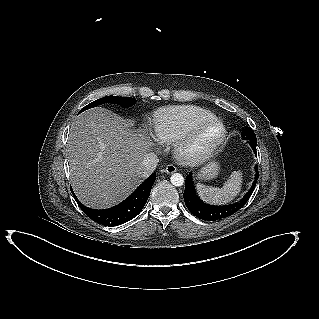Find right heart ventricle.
<instances>
[{
	"instance_id": "e07e8e85",
	"label": "right heart ventricle",
	"mask_w": 319,
	"mask_h": 319,
	"mask_svg": "<svg viewBox=\"0 0 319 319\" xmlns=\"http://www.w3.org/2000/svg\"><path fill=\"white\" fill-rule=\"evenodd\" d=\"M214 117L211 111L199 106H168L153 114L151 125L159 141L173 143L197 123Z\"/></svg>"
}]
</instances>
